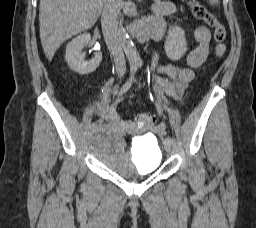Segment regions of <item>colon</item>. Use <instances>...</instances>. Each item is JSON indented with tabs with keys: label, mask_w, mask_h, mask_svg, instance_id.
Masks as SVG:
<instances>
[{
	"label": "colon",
	"mask_w": 256,
	"mask_h": 228,
	"mask_svg": "<svg viewBox=\"0 0 256 228\" xmlns=\"http://www.w3.org/2000/svg\"><path fill=\"white\" fill-rule=\"evenodd\" d=\"M188 4L191 8L193 15L204 21L208 26L213 28L214 40L216 42L215 46V56L221 58L226 52V46L224 41L226 39V29L220 20L211 13L204 5H202L197 0H182ZM137 122L142 127L152 126L155 122L154 115L150 113H141L137 117Z\"/></svg>",
	"instance_id": "obj_1"
}]
</instances>
